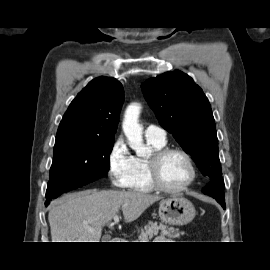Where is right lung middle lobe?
I'll return each mask as SVG.
<instances>
[{
	"label": "right lung middle lobe",
	"instance_id": "obj_1",
	"mask_svg": "<svg viewBox=\"0 0 270 270\" xmlns=\"http://www.w3.org/2000/svg\"><path fill=\"white\" fill-rule=\"evenodd\" d=\"M113 144L114 139L56 136L46 198L55 199L104 176Z\"/></svg>",
	"mask_w": 270,
	"mask_h": 270
}]
</instances>
